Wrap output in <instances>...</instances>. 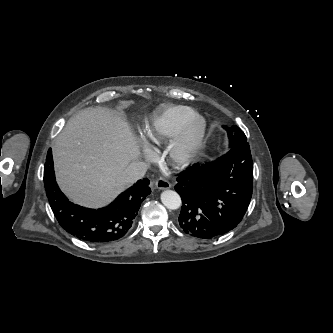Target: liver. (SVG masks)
<instances>
[{"instance_id": "1", "label": "liver", "mask_w": 333, "mask_h": 333, "mask_svg": "<svg viewBox=\"0 0 333 333\" xmlns=\"http://www.w3.org/2000/svg\"><path fill=\"white\" fill-rule=\"evenodd\" d=\"M52 151L62 191L75 203L94 208L126 187L122 173L140 154L128 124L104 107L73 116Z\"/></svg>"}]
</instances>
